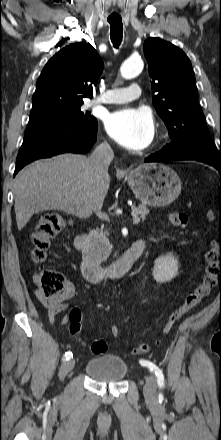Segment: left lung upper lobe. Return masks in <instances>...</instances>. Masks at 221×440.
I'll return each mask as SVG.
<instances>
[{
    "mask_svg": "<svg viewBox=\"0 0 221 440\" xmlns=\"http://www.w3.org/2000/svg\"><path fill=\"white\" fill-rule=\"evenodd\" d=\"M144 55L152 78V102L164 121L172 143L165 148L177 155L198 159L221 160L204 114L197 101V87L191 62L170 42L149 38Z\"/></svg>",
    "mask_w": 221,
    "mask_h": 440,
    "instance_id": "obj_1",
    "label": "left lung upper lobe"
}]
</instances>
